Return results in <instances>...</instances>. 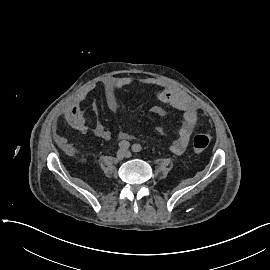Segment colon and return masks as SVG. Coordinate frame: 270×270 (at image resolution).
I'll list each match as a JSON object with an SVG mask.
<instances>
[{"mask_svg": "<svg viewBox=\"0 0 270 270\" xmlns=\"http://www.w3.org/2000/svg\"><path fill=\"white\" fill-rule=\"evenodd\" d=\"M210 145V137L204 133H198L193 137V147L196 152L205 151Z\"/></svg>", "mask_w": 270, "mask_h": 270, "instance_id": "1", "label": "colon"}]
</instances>
